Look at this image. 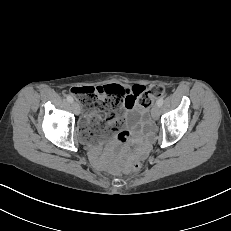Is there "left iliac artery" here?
Wrapping results in <instances>:
<instances>
[{"label": "left iliac artery", "mask_w": 231, "mask_h": 231, "mask_svg": "<svg viewBox=\"0 0 231 231\" xmlns=\"http://www.w3.org/2000/svg\"><path fill=\"white\" fill-rule=\"evenodd\" d=\"M163 102H164L163 98H159L158 101H157V105H158L159 107H161L162 104H163Z\"/></svg>", "instance_id": "1"}]
</instances>
